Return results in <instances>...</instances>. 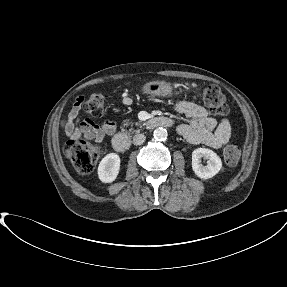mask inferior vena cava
<instances>
[{
  "instance_id": "inferior-vena-cava-1",
  "label": "inferior vena cava",
  "mask_w": 287,
  "mask_h": 287,
  "mask_svg": "<svg viewBox=\"0 0 287 287\" xmlns=\"http://www.w3.org/2000/svg\"><path fill=\"white\" fill-rule=\"evenodd\" d=\"M146 140V136L144 134H136L133 137L134 145H142Z\"/></svg>"
}]
</instances>
